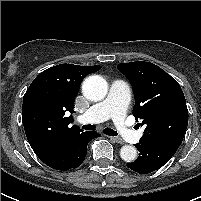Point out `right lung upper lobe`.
<instances>
[{"instance_id":"right-lung-upper-lobe-1","label":"right lung upper lobe","mask_w":201,"mask_h":201,"mask_svg":"<svg viewBox=\"0 0 201 201\" xmlns=\"http://www.w3.org/2000/svg\"><path fill=\"white\" fill-rule=\"evenodd\" d=\"M101 68L60 64L41 72L23 97L22 117L27 139L43 161L59 155L82 130L73 125L74 100L82 80Z\"/></svg>"}]
</instances>
